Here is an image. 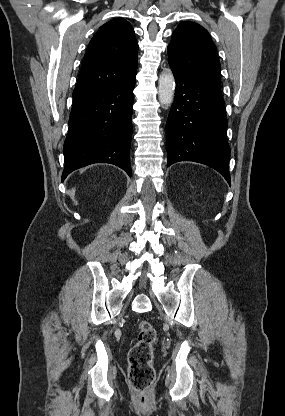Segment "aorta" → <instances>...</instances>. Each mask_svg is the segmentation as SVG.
<instances>
[{"label": "aorta", "instance_id": "obj_1", "mask_svg": "<svg viewBox=\"0 0 285 416\" xmlns=\"http://www.w3.org/2000/svg\"><path fill=\"white\" fill-rule=\"evenodd\" d=\"M158 89L160 103L168 107L173 102L175 90V80L171 71H165L160 75Z\"/></svg>", "mask_w": 285, "mask_h": 416}]
</instances>
